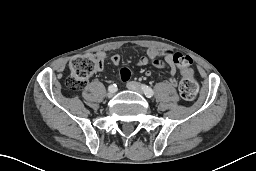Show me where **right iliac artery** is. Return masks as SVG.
Listing matches in <instances>:
<instances>
[{"instance_id": "82829eb1", "label": "right iliac artery", "mask_w": 256, "mask_h": 171, "mask_svg": "<svg viewBox=\"0 0 256 171\" xmlns=\"http://www.w3.org/2000/svg\"><path fill=\"white\" fill-rule=\"evenodd\" d=\"M108 90H114V91H116V90H117L116 84L110 85L109 88H108Z\"/></svg>"}]
</instances>
